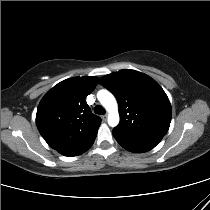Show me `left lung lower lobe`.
<instances>
[{
    "label": "left lung lower lobe",
    "mask_w": 210,
    "mask_h": 210,
    "mask_svg": "<svg viewBox=\"0 0 210 210\" xmlns=\"http://www.w3.org/2000/svg\"><path fill=\"white\" fill-rule=\"evenodd\" d=\"M119 143V142H118ZM123 148H125L128 151L134 152V153H142V152H146L149 151V149H140V148H134V147H130L127 145H124L122 143H119Z\"/></svg>",
    "instance_id": "0a47b994"
}]
</instances>
